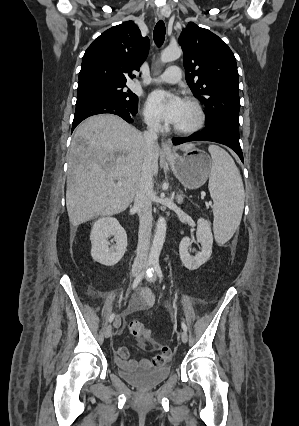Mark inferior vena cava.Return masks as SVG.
<instances>
[{
    "mask_svg": "<svg viewBox=\"0 0 299 426\" xmlns=\"http://www.w3.org/2000/svg\"><path fill=\"white\" fill-rule=\"evenodd\" d=\"M147 131L144 132L146 154L142 165L141 176L134 199V208L139 215V232L136 258L133 268H140L148 261L150 237L152 229V198H153V175L151 169V154L156 146L157 133L160 124L157 120L147 119Z\"/></svg>",
    "mask_w": 299,
    "mask_h": 426,
    "instance_id": "602c4592",
    "label": "inferior vena cava"
}]
</instances>
